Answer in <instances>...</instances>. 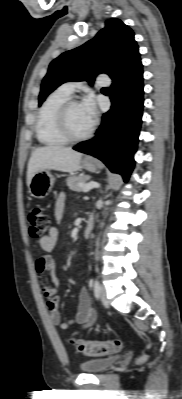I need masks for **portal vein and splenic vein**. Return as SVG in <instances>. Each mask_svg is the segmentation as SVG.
Masks as SVG:
<instances>
[{"label": "portal vein and splenic vein", "mask_w": 182, "mask_h": 399, "mask_svg": "<svg viewBox=\"0 0 182 399\" xmlns=\"http://www.w3.org/2000/svg\"><path fill=\"white\" fill-rule=\"evenodd\" d=\"M83 188V192H88L89 190H91L92 188H98L99 184L97 182L91 181L87 184L81 185Z\"/></svg>", "instance_id": "obj_1"}]
</instances>
